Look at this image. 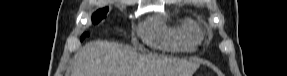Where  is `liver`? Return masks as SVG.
<instances>
[{
  "label": "liver",
  "mask_w": 287,
  "mask_h": 76,
  "mask_svg": "<svg viewBox=\"0 0 287 76\" xmlns=\"http://www.w3.org/2000/svg\"><path fill=\"white\" fill-rule=\"evenodd\" d=\"M198 63L141 55L110 41H92L78 51L71 76H192Z\"/></svg>",
  "instance_id": "6515ba94"
}]
</instances>
